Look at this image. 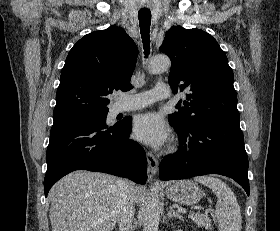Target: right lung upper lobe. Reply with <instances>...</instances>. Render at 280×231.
Segmentation results:
<instances>
[{"mask_svg":"<svg viewBox=\"0 0 280 231\" xmlns=\"http://www.w3.org/2000/svg\"><path fill=\"white\" fill-rule=\"evenodd\" d=\"M138 49L124 29L115 25L92 32L70 50L60 76L53 125L108 113L113 91L132 89Z\"/></svg>","mask_w":280,"mask_h":231,"instance_id":"right-lung-upper-lobe-1","label":"right lung upper lobe"}]
</instances>
